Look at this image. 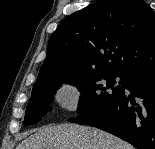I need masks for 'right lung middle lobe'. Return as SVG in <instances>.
<instances>
[{
  "instance_id": "dd1d6c3e",
  "label": "right lung middle lobe",
  "mask_w": 155,
  "mask_h": 149,
  "mask_svg": "<svg viewBox=\"0 0 155 149\" xmlns=\"http://www.w3.org/2000/svg\"><path fill=\"white\" fill-rule=\"evenodd\" d=\"M119 77L120 86H114ZM125 75L96 71L64 72L35 83L28 102L24 124L29 126L40 121L50 109L53 93L62 85L69 83L81 91L78 104V118L69 121L83 123L88 118L98 116L123 91Z\"/></svg>"
}]
</instances>
